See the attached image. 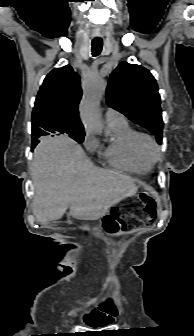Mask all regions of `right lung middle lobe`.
<instances>
[{
  "label": "right lung middle lobe",
  "instance_id": "dd1d6c3e",
  "mask_svg": "<svg viewBox=\"0 0 194 336\" xmlns=\"http://www.w3.org/2000/svg\"><path fill=\"white\" fill-rule=\"evenodd\" d=\"M68 135L78 143H82L85 134L83 132H75V133H68Z\"/></svg>",
  "mask_w": 194,
  "mask_h": 336
}]
</instances>
